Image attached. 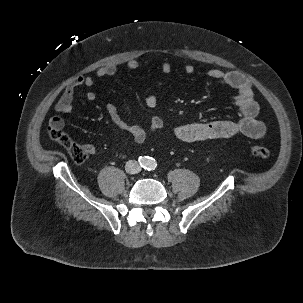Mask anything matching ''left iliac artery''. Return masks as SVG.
<instances>
[{"label":"left iliac artery","instance_id":"left-iliac-artery-1","mask_svg":"<svg viewBox=\"0 0 303 303\" xmlns=\"http://www.w3.org/2000/svg\"><path fill=\"white\" fill-rule=\"evenodd\" d=\"M155 167H156L155 160H153V159L149 160V162H148V169L152 170V169H155Z\"/></svg>","mask_w":303,"mask_h":303}]
</instances>
